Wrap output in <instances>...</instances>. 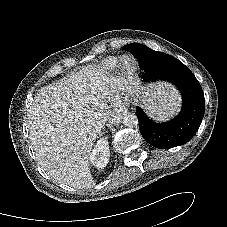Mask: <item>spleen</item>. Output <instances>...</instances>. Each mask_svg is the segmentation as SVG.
<instances>
[{"instance_id": "obj_1", "label": "spleen", "mask_w": 227, "mask_h": 227, "mask_svg": "<svg viewBox=\"0 0 227 227\" xmlns=\"http://www.w3.org/2000/svg\"><path fill=\"white\" fill-rule=\"evenodd\" d=\"M174 95H176L174 91L165 90L161 85L157 86L156 91L151 93L146 100L148 113L159 120L174 115L178 108V102L173 100Z\"/></svg>"}]
</instances>
